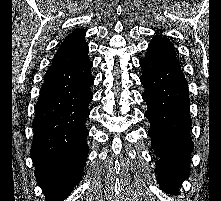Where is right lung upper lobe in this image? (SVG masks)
Masks as SVG:
<instances>
[{
	"label": "right lung upper lobe",
	"mask_w": 221,
	"mask_h": 201,
	"mask_svg": "<svg viewBox=\"0 0 221 201\" xmlns=\"http://www.w3.org/2000/svg\"><path fill=\"white\" fill-rule=\"evenodd\" d=\"M88 51L84 32L77 29L65 38L54 56L52 66H80L86 64L90 62Z\"/></svg>",
	"instance_id": "1"
}]
</instances>
